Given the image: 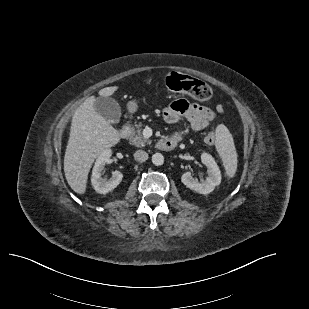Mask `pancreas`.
I'll use <instances>...</instances> for the list:
<instances>
[{"instance_id":"cf45deb5","label":"pancreas","mask_w":309,"mask_h":309,"mask_svg":"<svg viewBox=\"0 0 309 309\" xmlns=\"http://www.w3.org/2000/svg\"><path fill=\"white\" fill-rule=\"evenodd\" d=\"M141 131L140 124L132 127L131 142L137 147H143L146 144H151V140L144 138Z\"/></svg>"}]
</instances>
